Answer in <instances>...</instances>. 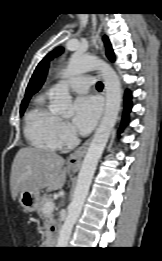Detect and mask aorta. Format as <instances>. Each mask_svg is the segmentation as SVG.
<instances>
[{
    "instance_id": "obj_1",
    "label": "aorta",
    "mask_w": 162,
    "mask_h": 261,
    "mask_svg": "<svg viewBox=\"0 0 162 261\" xmlns=\"http://www.w3.org/2000/svg\"><path fill=\"white\" fill-rule=\"evenodd\" d=\"M91 70H99L104 80L106 91L105 112L82 162L73 199L59 233L58 248H66L68 245L73 226L81 213L88 194L97 163L115 126L121 106V82L118 75L109 64L95 56L73 54L63 72V78H70ZM53 93L50 110L64 116L72 115L73 111L70 110L72 98L68 86L58 84L53 88Z\"/></svg>"
}]
</instances>
